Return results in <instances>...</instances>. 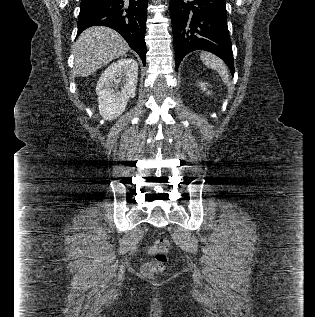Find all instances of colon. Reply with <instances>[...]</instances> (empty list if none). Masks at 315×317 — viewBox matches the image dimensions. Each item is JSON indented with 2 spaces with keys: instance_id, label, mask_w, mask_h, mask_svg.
I'll return each instance as SVG.
<instances>
[{
  "instance_id": "obj_1",
  "label": "colon",
  "mask_w": 315,
  "mask_h": 317,
  "mask_svg": "<svg viewBox=\"0 0 315 317\" xmlns=\"http://www.w3.org/2000/svg\"><path fill=\"white\" fill-rule=\"evenodd\" d=\"M169 249L170 242L167 238L162 237L154 242L150 248L153 258L142 267V274L145 277H153L165 270L168 264Z\"/></svg>"
}]
</instances>
